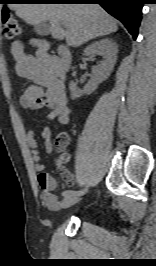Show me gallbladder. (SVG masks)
Instances as JSON below:
<instances>
[{
  "label": "gallbladder",
  "instance_id": "obj_1",
  "mask_svg": "<svg viewBox=\"0 0 156 266\" xmlns=\"http://www.w3.org/2000/svg\"><path fill=\"white\" fill-rule=\"evenodd\" d=\"M34 31L40 36H46L50 34L51 28L48 22H42L34 26Z\"/></svg>",
  "mask_w": 156,
  "mask_h": 266
}]
</instances>
